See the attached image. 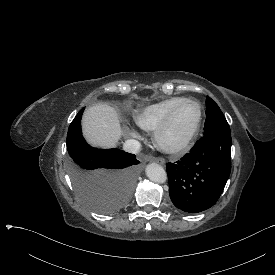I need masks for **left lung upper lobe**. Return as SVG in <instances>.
<instances>
[{
    "label": "left lung upper lobe",
    "mask_w": 275,
    "mask_h": 275,
    "mask_svg": "<svg viewBox=\"0 0 275 275\" xmlns=\"http://www.w3.org/2000/svg\"><path fill=\"white\" fill-rule=\"evenodd\" d=\"M206 121L204 125V137L219 131H230L223 113L218 105L210 98L206 97Z\"/></svg>",
    "instance_id": "left-lung-upper-lobe-1"
}]
</instances>
